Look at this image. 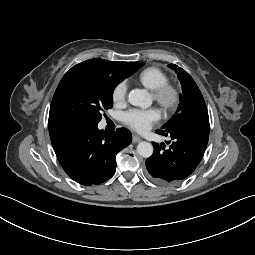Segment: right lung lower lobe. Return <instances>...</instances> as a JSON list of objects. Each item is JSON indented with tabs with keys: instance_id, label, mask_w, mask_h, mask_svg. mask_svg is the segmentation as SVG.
<instances>
[{
	"instance_id": "obj_1",
	"label": "right lung lower lobe",
	"mask_w": 255,
	"mask_h": 255,
	"mask_svg": "<svg viewBox=\"0 0 255 255\" xmlns=\"http://www.w3.org/2000/svg\"><path fill=\"white\" fill-rule=\"evenodd\" d=\"M49 134L64 171L86 186L110 179L116 170V154L132 141L125 128L107 134L87 122H49Z\"/></svg>"
}]
</instances>
